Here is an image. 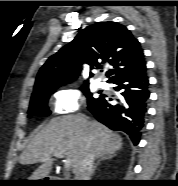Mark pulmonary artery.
<instances>
[{
    "instance_id": "1",
    "label": "pulmonary artery",
    "mask_w": 178,
    "mask_h": 186,
    "mask_svg": "<svg viewBox=\"0 0 178 186\" xmlns=\"http://www.w3.org/2000/svg\"><path fill=\"white\" fill-rule=\"evenodd\" d=\"M98 86L105 89L108 87V84L104 80H101L98 82Z\"/></svg>"
}]
</instances>
